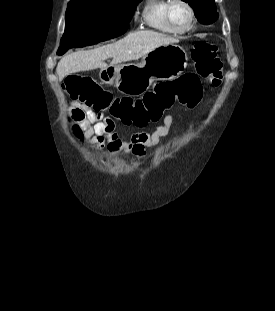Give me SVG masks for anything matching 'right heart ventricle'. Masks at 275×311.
Here are the masks:
<instances>
[{"label": "right heart ventricle", "mask_w": 275, "mask_h": 311, "mask_svg": "<svg viewBox=\"0 0 275 311\" xmlns=\"http://www.w3.org/2000/svg\"><path fill=\"white\" fill-rule=\"evenodd\" d=\"M168 4L169 0H146L141 11L142 22L147 27L161 33H178L165 18V10Z\"/></svg>", "instance_id": "1"}]
</instances>
